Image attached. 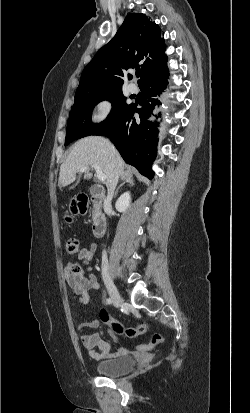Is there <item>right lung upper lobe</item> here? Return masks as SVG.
Instances as JSON below:
<instances>
[{"label": "right lung upper lobe", "mask_w": 250, "mask_h": 413, "mask_svg": "<svg viewBox=\"0 0 250 413\" xmlns=\"http://www.w3.org/2000/svg\"><path fill=\"white\" fill-rule=\"evenodd\" d=\"M160 27L145 14L126 16L114 38L103 46L82 72L75 95L122 89L121 68L141 70L142 83L147 77L167 70L165 43L160 38ZM128 75V79H131Z\"/></svg>", "instance_id": "obj_1"}]
</instances>
